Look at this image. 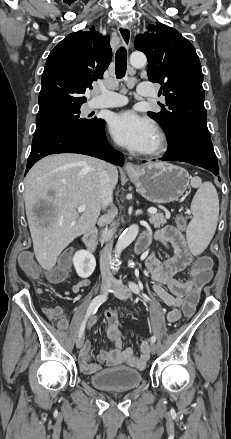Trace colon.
Listing matches in <instances>:
<instances>
[{
    "mask_svg": "<svg viewBox=\"0 0 231 439\" xmlns=\"http://www.w3.org/2000/svg\"><path fill=\"white\" fill-rule=\"evenodd\" d=\"M177 226L180 229H185L187 220L185 217L177 219ZM70 251L65 252L58 263L48 271L47 279L51 283H61L66 280L71 268ZM212 259L209 256H200L196 258L191 269V279L194 282V287L189 289L184 294L180 311L185 320L190 321L196 315V306L199 296L205 291V287L210 285L213 280L212 274ZM20 265L22 269L32 277H39L41 272L38 268L33 256L29 253H24L20 256Z\"/></svg>",
    "mask_w": 231,
    "mask_h": 439,
    "instance_id": "obj_1",
    "label": "colon"
}]
</instances>
